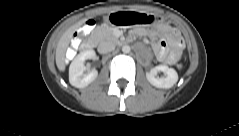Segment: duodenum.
Masks as SVG:
<instances>
[{
    "label": "duodenum",
    "mask_w": 239,
    "mask_h": 136,
    "mask_svg": "<svg viewBox=\"0 0 239 136\" xmlns=\"http://www.w3.org/2000/svg\"><path fill=\"white\" fill-rule=\"evenodd\" d=\"M80 36H76L74 39H73V43L75 46L79 45L80 44ZM93 47V41L92 40H87L85 41L83 44H82V49L83 50H89Z\"/></svg>",
    "instance_id": "obj_1"
}]
</instances>
